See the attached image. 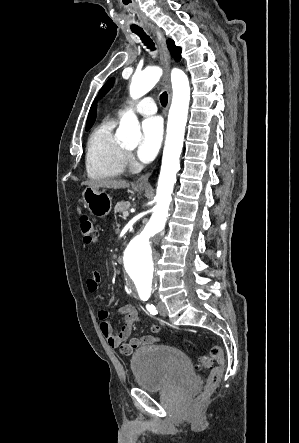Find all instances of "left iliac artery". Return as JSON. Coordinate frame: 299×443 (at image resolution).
<instances>
[{
  "label": "left iliac artery",
  "instance_id": "44dca946",
  "mask_svg": "<svg viewBox=\"0 0 299 443\" xmlns=\"http://www.w3.org/2000/svg\"><path fill=\"white\" fill-rule=\"evenodd\" d=\"M146 300L147 299H145L144 301H146ZM146 308L150 312V314H152V315L158 314V311L156 310V308H155V306L153 304H147Z\"/></svg>",
  "mask_w": 299,
  "mask_h": 443
}]
</instances>
